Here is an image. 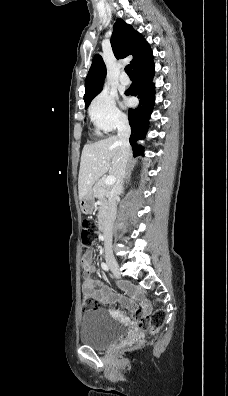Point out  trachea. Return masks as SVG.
<instances>
[{
	"label": "trachea",
	"instance_id": "1",
	"mask_svg": "<svg viewBox=\"0 0 228 396\" xmlns=\"http://www.w3.org/2000/svg\"><path fill=\"white\" fill-rule=\"evenodd\" d=\"M125 72L127 73L128 76H133V72L130 65H127L125 67Z\"/></svg>",
	"mask_w": 228,
	"mask_h": 396
}]
</instances>
